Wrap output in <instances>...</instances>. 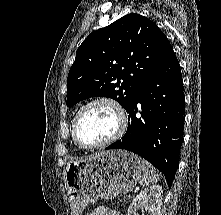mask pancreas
Wrapping results in <instances>:
<instances>
[{
    "mask_svg": "<svg viewBox=\"0 0 221 215\" xmlns=\"http://www.w3.org/2000/svg\"><path fill=\"white\" fill-rule=\"evenodd\" d=\"M125 203H127L126 200H118V201H117V204H118L119 206H123V205H125Z\"/></svg>",
    "mask_w": 221,
    "mask_h": 215,
    "instance_id": "pancreas-1",
    "label": "pancreas"
}]
</instances>
